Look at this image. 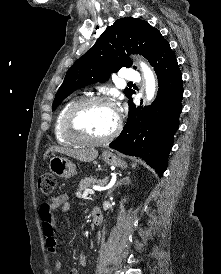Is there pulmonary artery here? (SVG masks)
<instances>
[{"instance_id": "1", "label": "pulmonary artery", "mask_w": 221, "mask_h": 274, "mask_svg": "<svg viewBox=\"0 0 221 274\" xmlns=\"http://www.w3.org/2000/svg\"><path fill=\"white\" fill-rule=\"evenodd\" d=\"M121 78L127 81H137L139 80V73L132 68H126L122 71Z\"/></svg>"}]
</instances>
